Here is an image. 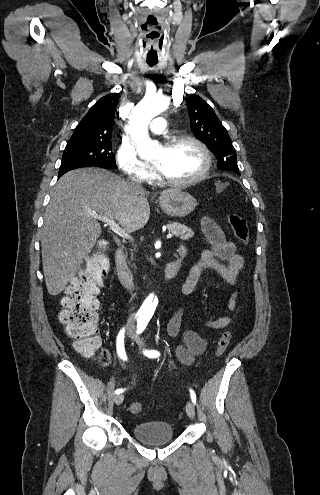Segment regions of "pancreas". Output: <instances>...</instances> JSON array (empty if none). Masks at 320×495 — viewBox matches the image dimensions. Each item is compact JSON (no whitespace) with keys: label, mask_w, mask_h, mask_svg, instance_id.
I'll return each mask as SVG.
<instances>
[{"label":"pancreas","mask_w":320,"mask_h":495,"mask_svg":"<svg viewBox=\"0 0 320 495\" xmlns=\"http://www.w3.org/2000/svg\"><path fill=\"white\" fill-rule=\"evenodd\" d=\"M167 230L169 233L176 237H180L182 240H187L194 235V232L190 228L178 222L167 224Z\"/></svg>","instance_id":"1"}]
</instances>
